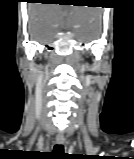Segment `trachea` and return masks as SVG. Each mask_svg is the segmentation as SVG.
Here are the masks:
<instances>
[{
  "label": "trachea",
  "mask_w": 134,
  "mask_h": 159,
  "mask_svg": "<svg viewBox=\"0 0 134 159\" xmlns=\"http://www.w3.org/2000/svg\"><path fill=\"white\" fill-rule=\"evenodd\" d=\"M63 151H64L63 145L57 144L54 146V153L60 155L63 153Z\"/></svg>",
  "instance_id": "trachea-1"
}]
</instances>
